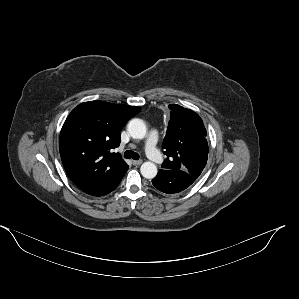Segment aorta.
Segmentation results:
<instances>
[{
    "instance_id": "aorta-1",
    "label": "aorta",
    "mask_w": 299,
    "mask_h": 299,
    "mask_svg": "<svg viewBox=\"0 0 299 299\" xmlns=\"http://www.w3.org/2000/svg\"><path fill=\"white\" fill-rule=\"evenodd\" d=\"M129 135L134 139H143L146 136V125L143 120L132 119L127 126ZM142 176L146 179H152L157 175V166L150 161L144 162L140 167Z\"/></svg>"
}]
</instances>
